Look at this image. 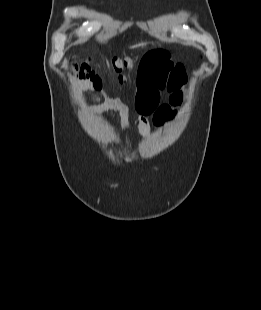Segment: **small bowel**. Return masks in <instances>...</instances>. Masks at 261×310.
<instances>
[{"label":"small bowel","mask_w":261,"mask_h":310,"mask_svg":"<svg viewBox=\"0 0 261 310\" xmlns=\"http://www.w3.org/2000/svg\"><path fill=\"white\" fill-rule=\"evenodd\" d=\"M185 83L183 65L174 63L168 53L156 51L144 56L137 84V109L140 113L141 132L144 135L151 133L149 114L154 112V123L160 125L173 114V109L182 103V88ZM164 90L171 93L169 104L158 107L160 93ZM105 107L121 112L126 110L125 104L119 99L107 98ZM122 129H127L125 121H122Z\"/></svg>","instance_id":"obj_1"}]
</instances>
